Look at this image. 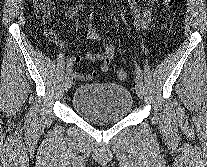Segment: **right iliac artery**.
Masks as SVG:
<instances>
[{"label":"right iliac artery","instance_id":"82829eb1","mask_svg":"<svg viewBox=\"0 0 207 167\" xmlns=\"http://www.w3.org/2000/svg\"><path fill=\"white\" fill-rule=\"evenodd\" d=\"M72 65H73V61L69 60L68 63H67V67H66L67 72L72 68Z\"/></svg>","mask_w":207,"mask_h":167}]
</instances>
